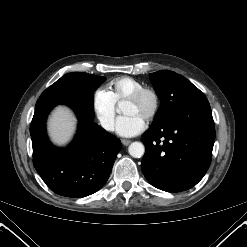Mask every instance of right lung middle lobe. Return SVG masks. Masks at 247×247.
<instances>
[{"mask_svg":"<svg viewBox=\"0 0 247 247\" xmlns=\"http://www.w3.org/2000/svg\"><path fill=\"white\" fill-rule=\"evenodd\" d=\"M105 81L104 77L72 72L62 76L44 93H74L93 96V91Z\"/></svg>","mask_w":247,"mask_h":247,"instance_id":"obj_1","label":"right lung middle lobe"}]
</instances>
